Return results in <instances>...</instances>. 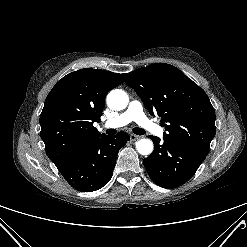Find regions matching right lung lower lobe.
Instances as JSON below:
<instances>
[{
  "label": "right lung lower lobe",
  "mask_w": 247,
  "mask_h": 247,
  "mask_svg": "<svg viewBox=\"0 0 247 247\" xmlns=\"http://www.w3.org/2000/svg\"><path fill=\"white\" fill-rule=\"evenodd\" d=\"M129 139L125 132L116 136L103 134L83 146L58 170L74 189L98 190L111 179L118 152Z\"/></svg>",
  "instance_id": "1"
}]
</instances>
